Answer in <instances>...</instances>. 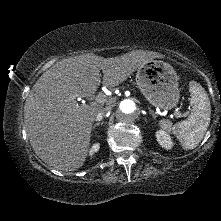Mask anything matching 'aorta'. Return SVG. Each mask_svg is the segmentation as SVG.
I'll return each mask as SVG.
<instances>
[{
    "mask_svg": "<svg viewBox=\"0 0 221 221\" xmlns=\"http://www.w3.org/2000/svg\"><path fill=\"white\" fill-rule=\"evenodd\" d=\"M138 107L131 99L122 100L116 109V118L123 123H129L136 119Z\"/></svg>",
    "mask_w": 221,
    "mask_h": 221,
    "instance_id": "aorta-1",
    "label": "aorta"
}]
</instances>
